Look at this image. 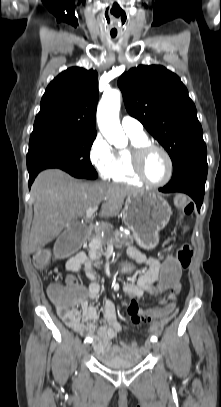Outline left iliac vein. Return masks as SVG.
Wrapping results in <instances>:
<instances>
[{"label": "left iliac vein", "mask_w": 221, "mask_h": 407, "mask_svg": "<svg viewBox=\"0 0 221 407\" xmlns=\"http://www.w3.org/2000/svg\"><path fill=\"white\" fill-rule=\"evenodd\" d=\"M153 350L157 353L160 350V344L158 342H153L152 344Z\"/></svg>", "instance_id": "obj_1"}]
</instances>
